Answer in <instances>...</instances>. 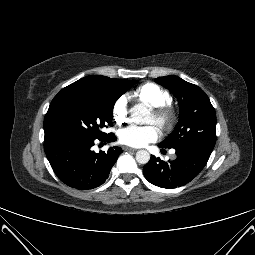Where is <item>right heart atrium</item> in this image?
<instances>
[{
  "instance_id": "1",
  "label": "right heart atrium",
  "mask_w": 255,
  "mask_h": 255,
  "mask_svg": "<svg viewBox=\"0 0 255 255\" xmlns=\"http://www.w3.org/2000/svg\"><path fill=\"white\" fill-rule=\"evenodd\" d=\"M112 117L117 124L125 122L127 117V101L124 97L118 98L112 106Z\"/></svg>"
}]
</instances>
